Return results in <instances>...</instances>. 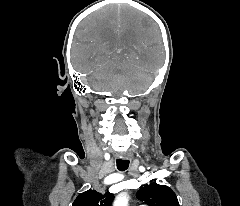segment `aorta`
<instances>
[{"label":"aorta","instance_id":"obj_1","mask_svg":"<svg viewBox=\"0 0 240 206\" xmlns=\"http://www.w3.org/2000/svg\"><path fill=\"white\" fill-rule=\"evenodd\" d=\"M128 205V196L126 193H121L118 195L114 201V206H127Z\"/></svg>","mask_w":240,"mask_h":206}]
</instances>
